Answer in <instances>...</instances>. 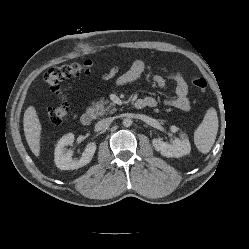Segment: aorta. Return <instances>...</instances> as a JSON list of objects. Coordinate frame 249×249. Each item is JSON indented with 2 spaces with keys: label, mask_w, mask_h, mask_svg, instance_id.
<instances>
[{
  "label": "aorta",
  "mask_w": 249,
  "mask_h": 249,
  "mask_svg": "<svg viewBox=\"0 0 249 249\" xmlns=\"http://www.w3.org/2000/svg\"><path fill=\"white\" fill-rule=\"evenodd\" d=\"M132 123H133V121H132V119H130V118H125V119L123 120V125H124L125 127H130V126L132 125Z\"/></svg>",
  "instance_id": "obj_1"
}]
</instances>
